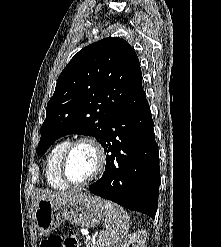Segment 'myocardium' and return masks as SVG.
<instances>
[{
	"label": "myocardium",
	"instance_id": "myocardium-1",
	"mask_svg": "<svg viewBox=\"0 0 221 247\" xmlns=\"http://www.w3.org/2000/svg\"><path fill=\"white\" fill-rule=\"evenodd\" d=\"M82 144L89 145L94 149L97 159V165L94 173L89 178H87L82 182L77 183V182H73L69 178L67 174V164L73 150L77 146ZM107 163H108V155L105 146L97 138L93 136L82 135L71 141L67 149L65 150L60 163V175L62 179L70 186L73 187L86 186L92 183L93 181L97 180L103 174V172L106 169Z\"/></svg>",
	"mask_w": 221,
	"mask_h": 247
}]
</instances>
